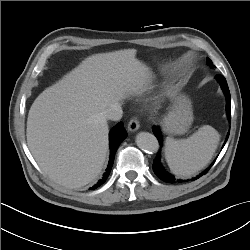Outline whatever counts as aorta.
Returning <instances> with one entry per match:
<instances>
[{"mask_svg":"<svg viewBox=\"0 0 250 250\" xmlns=\"http://www.w3.org/2000/svg\"><path fill=\"white\" fill-rule=\"evenodd\" d=\"M136 143L138 147L149 153H155L159 149V142L157 138L149 132H140L136 136Z\"/></svg>","mask_w":250,"mask_h":250,"instance_id":"aorta-1","label":"aorta"}]
</instances>
